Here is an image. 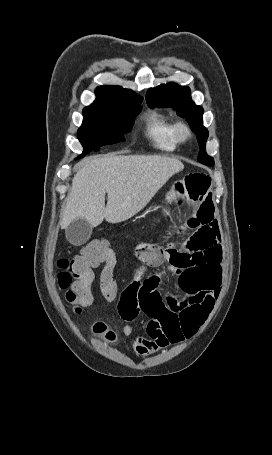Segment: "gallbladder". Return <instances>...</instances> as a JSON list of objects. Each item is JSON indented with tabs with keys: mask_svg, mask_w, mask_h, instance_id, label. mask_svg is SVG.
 <instances>
[{
	"mask_svg": "<svg viewBox=\"0 0 272 455\" xmlns=\"http://www.w3.org/2000/svg\"><path fill=\"white\" fill-rule=\"evenodd\" d=\"M92 234V226L85 219H75L65 229L67 240L73 245L86 243Z\"/></svg>",
	"mask_w": 272,
	"mask_h": 455,
	"instance_id": "1",
	"label": "gallbladder"
}]
</instances>
